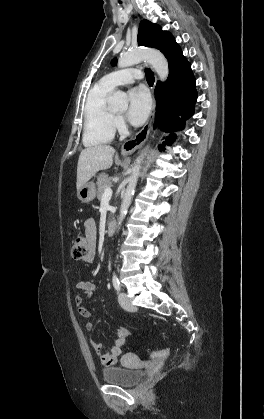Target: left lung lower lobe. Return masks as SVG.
<instances>
[{
    "instance_id": "left-lung-lower-lobe-1",
    "label": "left lung lower lobe",
    "mask_w": 264,
    "mask_h": 419,
    "mask_svg": "<svg viewBox=\"0 0 264 419\" xmlns=\"http://www.w3.org/2000/svg\"><path fill=\"white\" fill-rule=\"evenodd\" d=\"M163 54L168 59L169 75L165 83L158 81L155 88L156 118L162 119L161 126L166 132H174L182 129L185 120L194 113L197 91L191 65L179 45L175 42L171 50ZM174 139L175 134L171 133L159 149L163 150L165 143L170 144Z\"/></svg>"
}]
</instances>
